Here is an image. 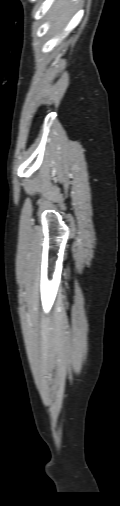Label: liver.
<instances>
[{
  "label": "liver",
  "mask_w": 120,
  "mask_h": 506,
  "mask_svg": "<svg viewBox=\"0 0 120 506\" xmlns=\"http://www.w3.org/2000/svg\"><path fill=\"white\" fill-rule=\"evenodd\" d=\"M55 8L58 14L55 18L53 29H59L68 20L69 14L72 11L73 6L69 5L66 0H58V2L55 5Z\"/></svg>",
  "instance_id": "1"
}]
</instances>
